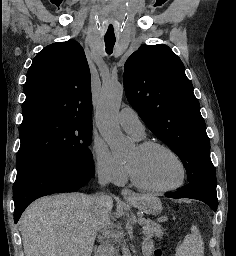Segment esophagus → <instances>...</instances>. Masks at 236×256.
<instances>
[{
  "label": "esophagus",
  "mask_w": 236,
  "mask_h": 256,
  "mask_svg": "<svg viewBox=\"0 0 236 256\" xmlns=\"http://www.w3.org/2000/svg\"><path fill=\"white\" fill-rule=\"evenodd\" d=\"M121 194L125 200H132L137 197L136 193L133 190H131L130 188H124L121 191Z\"/></svg>",
  "instance_id": "obj_1"
}]
</instances>
